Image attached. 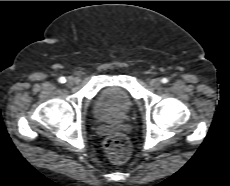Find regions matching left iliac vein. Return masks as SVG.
Returning a JSON list of instances; mask_svg holds the SVG:
<instances>
[{"mask_svg":"<svg viewBox=\"0 0 230 186\" xmlns=\"http://www.w3.org/2000/svg\"><path fill=\"white\" fill-rule=\"evenodd\" d=\"M161 80L159 78H155L151 81V85L154 87V88H158L161 86Z\"/></svg>","mask_w":230,"mask_h":186,"instance_id":"left-iliac-vein-1","label":"left iliac vein"}]
</instances>
